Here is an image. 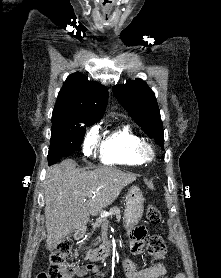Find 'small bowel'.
<instances>
[{"label": "small bowel", "instance_id": "small-bowel-1", "mask_svg": "<svg viewBox=\"0 0 221 278\" xmlns=\"http://www.w3.org/2000/svg\"><path fill=\"white\" fill-rule=\"evenodd\" d=\"M145 230L136 228L132 232L131 252L140 254L144 247ZM122 269L127 278H162L166 274V265L159 263L157 266L148 269H139L131 261L125 260L122 262ZM89 272L100 274V270L95 267H73L67 278L84 277ZM174 278H184L183 274L179 273Z\"/></svg>", "mask_w": 221, "mask_h": 278}]
</instances>
